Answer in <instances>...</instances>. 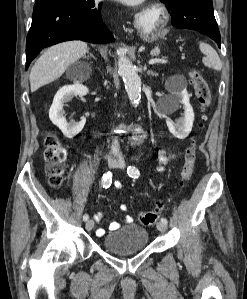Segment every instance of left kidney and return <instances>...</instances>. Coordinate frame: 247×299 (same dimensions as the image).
<instances>
[{
  "label": "left kidney",
  "instance_id": "1",
  "mask_svg": "<svg viewBox=\"0 0 247 299\" xmlns=\"http://www.w3.org/2000/svg\"><path fill=\"white\" fill-rule=\"evenodd\" d=\"M173 99L175 107L183 105L184 116L177 119L175 122L168 119L166 121L167 127L174 137L185 139L190 134L194 122V111L189 102L190 95L186 89H181L180 91L175 92ZM172 110L173 108L169 111Z\"/></svg>",
  "mask_w": 247,
  "mask_h": 299
}]
</instances>
